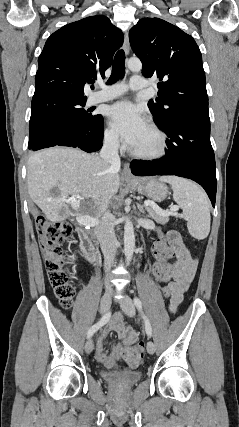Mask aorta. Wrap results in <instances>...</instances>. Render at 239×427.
<instances>
[{
    "mask_svg": "<svg viewBox=\"0 0 239 427\" xmlns=\"http://www.w3.org/2000/svg\"><path fill=\"white\" fill-rule=\"evenodd\" d=\"M127 67L134 72H139L142 69V63L137 58H131L127 62ZM135 248L134 227L129 218H126L124 226V253L126 263L129 264L133 257Z\"/></svg>",
    "mask_w": 239,
    "mask_h": 427,
    "instance_id": "obj_1",
    "label": "aorta"
}]
</instances>
